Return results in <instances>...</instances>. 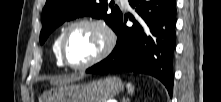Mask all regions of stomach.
Segmentation results:
<instances>
[{
    "label": "stomach",
    "instance_id": "obj_1",
    "mask_svg": "<svg viewBox=\"0 0 221 102\" xmlns=\"http://www.w3.org/2000/svg\"><path fill=\"white\" fill-rule=\"evenodd\" d=\"M123 89L118 77L85 84H65L44 92L39 102H108Z\"/></svg>",
    "mask_w": 221,
    "mask_h": 102
}]
</instances>
